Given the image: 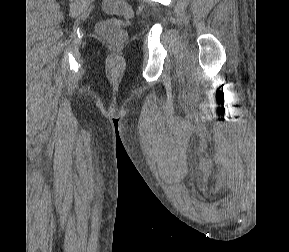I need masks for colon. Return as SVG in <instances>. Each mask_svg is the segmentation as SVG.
Segmentation results:
<instances>
[{"mask_svg":"<svg viewBox=\"0 0 289 252\" xmlns=\"http://www.w3.org/2000/svg\"><path fill=\"white\" fill-rule=\"evenodd\" d=\"M102 7L103 10L110 15L122 16L125 19H130L133 16L131 6L124 0H103ZM123 27V20L118 18H109L99 22L97 32L107 41L119 44L126 38Z\"/></svg>","mask_w":289,"mask_h":252,"instance_id":"5ec220e1","label":"colon"}]
</instances>
